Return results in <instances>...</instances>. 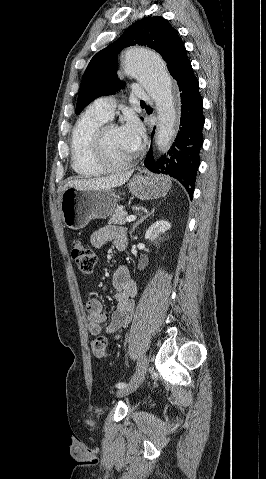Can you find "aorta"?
Wrapping results in <instances>:
<instances>
[{"instance_id": "aorta-1", "label": "aorta", "mask_w": 266, "mask_h": 479, "mask_svg": "<svg viewBox=\"0 0 266 479\" xmlns=\"http://www.w3.org/2000/svg\"><path fill=\"white\" fill-rule=\"evenodd\" d=\"M124 72L137 80L154 100L158 113L157 139L163 151L175 134L176 112L172 95V79L158 54L143 48L126 50L123 58Z\"/></svg>"}]
</instances>
